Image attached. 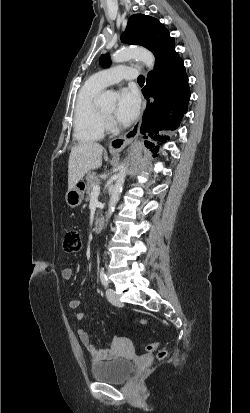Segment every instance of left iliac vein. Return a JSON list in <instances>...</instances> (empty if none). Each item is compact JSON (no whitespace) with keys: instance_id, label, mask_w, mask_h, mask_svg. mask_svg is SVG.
I'll use <instances>...</instances> for the list:
<instances>
[{"instance_id":"1","label":"left iliac vein","mask_w":250,"mask_h":413,"mask_svg":"<svg viewBox=\"0 0 250 413\" xmlns=\"http://www.w3.org/2000/svg\"><path fill=\"white\" fill-rule=\"evenodd\" d=\"M106 296L111 304L118 307L123 306V303L120 301L114 289L108 288L106 291Z\"/></svg>"}]
</instances>
